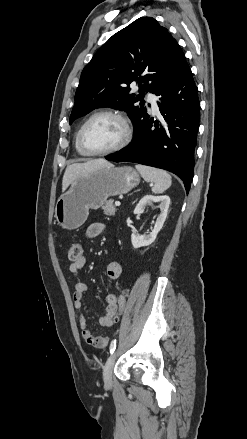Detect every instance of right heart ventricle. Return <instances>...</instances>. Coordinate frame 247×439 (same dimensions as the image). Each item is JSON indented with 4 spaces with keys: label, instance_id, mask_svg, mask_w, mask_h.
Listing matches in <instances>:
<instances>
[{
    "label": "right heart ventricle",
    "instance_id": "obj_1",
    "mask_svg": "<svg viewBox=\"0 0 247 439\" xmlns=\"http://www.w3.org/2000/svg\"><path fill=\"white\" fill-rule=\"evenodd\" d=\"M75 148H76V150H77V152H78L79 154H81V155H85V154L82 152V150L80 149L79 144H78V133H77L76 136H75Z\"/></svg>",
    "mask_w": 247,
    "mask_h": 439
}]
</instances>
